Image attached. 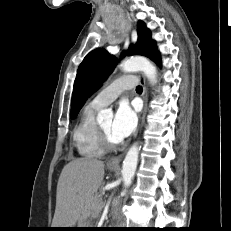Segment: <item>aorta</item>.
<instances>
[{
    "instance_id": "aorta-1",
    "label": "aorta",
    "mask_w": 231,
    "mask_h": 231,
    "mask_svg": "<svg viewBox=\"0 0 231 231\" xmlns=\"http://www.w3.org/2000/svg\"><path fill=\"white\" fill-rule=\"evenodd\" d=\"M121 69L125 72L142 71L151 84L154 85L157 82V71L155 66L144 57H132L123 61ZM112 116V111L105 109L98 113L97 119L103 120L107 117L111 118ZM139 150L140 147L138 143H134L128 150L123 161L122 177L125 188H128L132 183V179L137 168Z\"/></svg>"
}]
</instances>
